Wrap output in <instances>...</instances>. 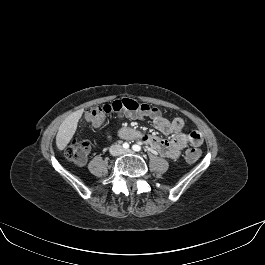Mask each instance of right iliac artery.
<instances>
[{"instance_id": "obj_1", "label": "right iliac artery", "mask_w": 265, "mask_h": 265, "mask_svg": "<svg viewBox=\"0 0 265 265\" xmlns=\"http://www.w3.org/2000/svg\"><path fill=\"white\" fill-rule=\"evenodd\" d=\"M123 148L128 149L129 148V144L128 143H124L123 144Z\"/></svg>"}]
</instances>
